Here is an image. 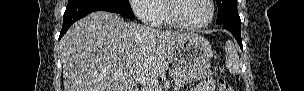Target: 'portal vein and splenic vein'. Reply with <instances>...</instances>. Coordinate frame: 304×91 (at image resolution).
<instances>
[{"mask_svg": "<svg viewBox=\"0 0 304 91\" xmlns=\"http://www.w3.org/2000/svg\"><path fill=\"white\" fill-rule=\"evenodd\" d=\"M142 83L147 84L149 86H155L157 84V80L153 79V78H143L141 80ZM180 88V86L178 84H175L174 89L178 90Z\"/></svg>", "mask_w": 304, "mask_h": 91, "instance_id": "1", "label": "portal vein and splenic vein"}]
</instances>
